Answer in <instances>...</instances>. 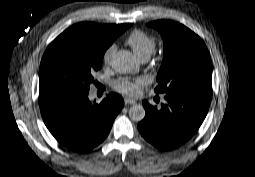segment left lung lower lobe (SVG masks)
<instances>
[{
  "label": "left lung lower lobe",
  "instance_id": "obj_1",
  "mask_svg": "<svg viewBox=\"0 0 255 177\" xmlns=\"http://www.w3.org/2000/svg\"><path fill=\"white\" fill-rule=\"evenodd\" d=\"M212 91L186 90L165 96L161 108L143 106L145 118L138 123L141 135L154 146L170 150L189 140L201 126L209 109Z\"/></svg>",
  "mask_w": 255,
  "mask_h": 177
}]
</instances>
